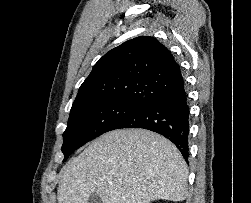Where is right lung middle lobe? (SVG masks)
<instances>
[{
  "instance_id": "dd1d6c3e",
  "label": "right lung middle lobe",
  "mask_w": 251,
  "mask_h": 203,
  "mask_svg": "<svg viewBox=\"0 0 251 203\" xmlns=\"http://www.w3.org/2000/svg\"><path fill=\"white\" fill-rule=\"evenodd\" d=\"M142 106L125 102H94L72 105L68 125L63 133L64 160L90 140L113 130L123 119Z\"/></svg>"
}]
</instances>
